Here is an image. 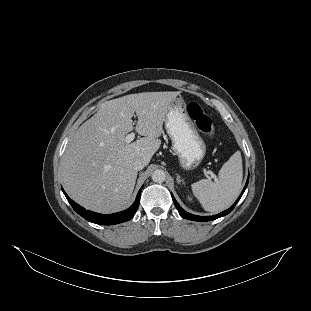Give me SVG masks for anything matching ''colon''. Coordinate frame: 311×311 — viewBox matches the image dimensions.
Listing matches in <instances>:
<instances>
[{
    "label": "colon",
    "instance_id": "5ec220e1",
    "mask_svg": "<svg viewBox=\"0 0 311 311\" xmlns=\"http://www.w3.org/2000/svg\"><path fill=\"white\" fill-rule=\"evenodd\" d=\"M186 109L197 129L209 138H213L215 134L213 121L203 107L197 102H189Z\"/></svg>",
    "mask_w": 311,
    "mask_h": 311
}]
</instances>
